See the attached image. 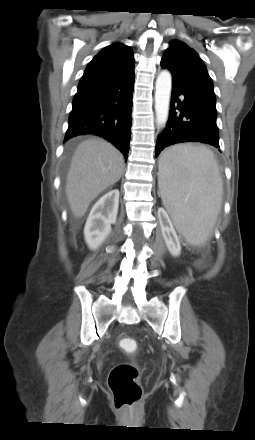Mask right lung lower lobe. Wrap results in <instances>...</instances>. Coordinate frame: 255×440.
I'll return each instance as SVG.
<instances>
[{
  "mask_svg": "<svg viewBox=\"0 0 255 440\" xmlns=\"http://www.w3.org/2000/svg\"><path fill=\"white\" fill-rule=\"evenodd\" d=\"M134 67L102 82L79 87L64 141L92 133L104 137L127 159L131 137Z\"/></svg>",
  "mask_w": 255,
  "mask_h": 440,
  "instance_id": "98d812e1",
  "label": "right lung lower lobe"
}]
</instances>
